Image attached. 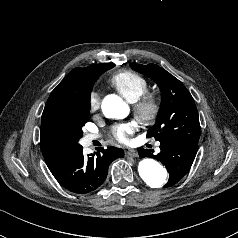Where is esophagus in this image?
Instances as JSON below:
<instances>
[{
	"label": "esophagus",
	"instance_id": "esophagus-1",
	"mask_svg": "<svg viewBox=\"0 0 238 238\" xmlns=\"http://www.w3.org/2000/svg\"><path fill=\"white\" fill-rule=\"evenodd\" d=\"M125 155L127 157H137L138 156L137 152L134 150H131V149L125 151Z\"/></svg>",
	"mask_w": 238,
	"mask_h": 238
}]
</instances>
